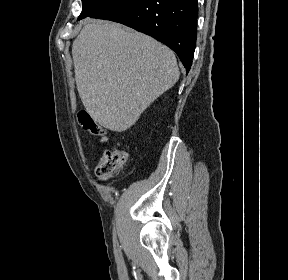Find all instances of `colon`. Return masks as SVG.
I'll list each match as a JSON object with an SVG mask.
<instances>
[{"label":"colon","instance_id":"1","mask_svg":"<svg viewBox=\"0 0 288 280\" xmlns=\"http://www.w3.org/2000/svg\"><path fill=\"white\" fill-rule=\"evenodd\" d=\"M80 125L91 135L107 139V132L96 118L86 110L78 113ZM128 159V153L120 147L107 149L101 157L97 167L96 174L102 180L110 179L118 170H120Z\"/></svg>","mask_w":288,"mask_h":280}]
</instances>
